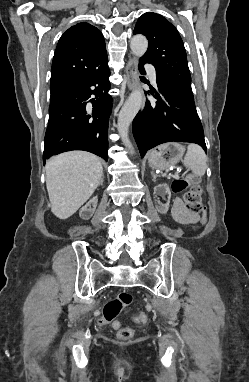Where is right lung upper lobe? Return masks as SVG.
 I'll return each mask as SVG.
<instances>
[{"instance_id": "cb5924a9", "label": "right lung upper lobe", "mask_w": 249, "mask_h": 382, "mask_svg": "<svg viewBox=\"0 0 249 382\" xmlns=\"http://www.w3.org/2000/svg\"><path fill=\"white\" fill-rule=\"evenodd\" d=\"M102 33L89 23H78L59 39L52 62L50 102L83 82L105 59Z\"/></svg>"}]
</instances>
